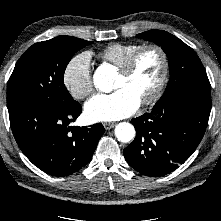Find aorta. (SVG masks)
Instances as JSON below:
<instances>
[{
	"label": "aorta",
	"mask_w": 221,
	"mask_h": 221,
	"mask_svg": "<svg viewBox=\"0 0 221 221\" xmlns=\"http://www.w3.org/2000/svg\"><path fill=\"white\" fill-rule=\"evenodd\" d=\"M113 74L104 67H99L93 77L94 85L102 92H110L113 89ZM116 138L124 143L131 141L135 136V128L127 122L119 123L115 127Z\"/></svg>",
	"instance_id": "aorta-1"
}]
</instances>
